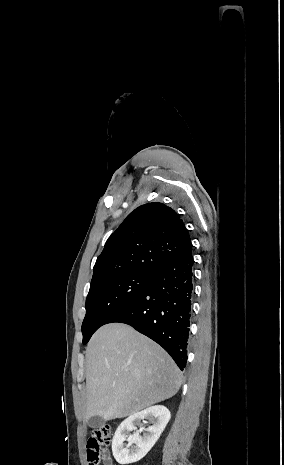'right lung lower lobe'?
Returning a JSON list of instances; mask_svg holds the SVG:
<instances>
[{
    "mask_svg": "<svg viewBox=\"0 0 284 465\" xmlns=\"http://www.w3.org/2000/svg\"><path fill=\"white\" fill-rule=\"evenodd\" d=\"M192 248L158 271L147 286L108 323L132 326L161 345L181 370L190 343L193 291Z\"/></svg>",
    "mask_w": 284,
    "mask_h": 465,
    "instance_id": "98d812e1",
    "label": "right lung lower lobe"
}]
</instances>
